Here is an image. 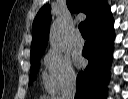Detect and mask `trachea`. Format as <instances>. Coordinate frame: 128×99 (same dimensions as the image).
I'll return each instance as SVG.
<instances>
[{
  "label": "trachea",
  "mask_w": 128,
  "mask_h": 99,
  "mask_svg": "<svg viewBox=\"0 0 128 99\" xmlns=\"http://www.w3.org/2000/svg\"><path fill=\"white\" fill-rule=\"evenodd\" d=\"M78 28H79V31H80V33H81V35H82L83 37L87 36V29H86V25H85L84 22H81V23L79 24Z\"/></svg>",
  "instance_id": "3493384b"
}]
</instances>
